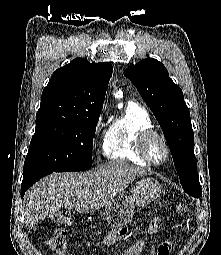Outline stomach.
<instances>
[{"mask_svg":"<svg viewBox=\"0 0 221 255\" xmlns=\"http://www.w3.org/2000/svg\"><path fill=\"white\" fill-rule=\"evenodd\" d=\"M161 192L162 188L157 180L143 177L136 182L128 195H117L105 206V219L113 227L126 226L132 222L136 206H147L158 199Z\"/></svg>","mask_w":221,"mask_h":255,"instance_id":"1","label":"stomach"}]
</instances>
